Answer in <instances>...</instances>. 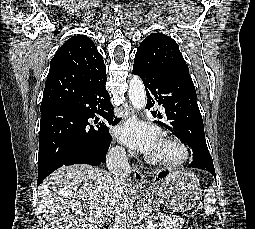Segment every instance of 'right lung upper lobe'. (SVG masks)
<instances>
[{
	"mask_svg": "<svg viewBox=\"0 0 255 229\" xmlns=\"http://www.w3.org/2000/svg\"><path fill=\"white\" fill-rule=\"evenodd\" d=\"M105 69L102 56L84 35L68 39L50 62L41 110L73 101Z\"/></svg>",
	"mask_w": 255,
	"mask_h": 229,
	"instance_id": "cb5924a9",
	"label": "right lung upper lobe"
}]
</instances>
